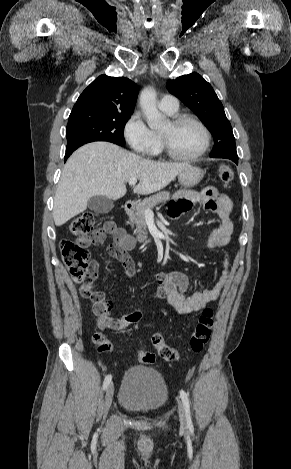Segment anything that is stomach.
Instances as JSON below:
<instances>
[{"mask_svg": "<svg viewBox=\"0 0 291 469\" xmlns=\"http://www.w3.org/2000/svg\"><path fill=\"white\" fill-rule=\"evenodd\" d=\"M204 172L197 166H188L178 174V181L181 186L190 188L197 185L203 178Z\"/></svg>", "mask_w": 291, "mask_h": 469, "instance_id": "obj_1", "label": "stomach"}]
</instances>
